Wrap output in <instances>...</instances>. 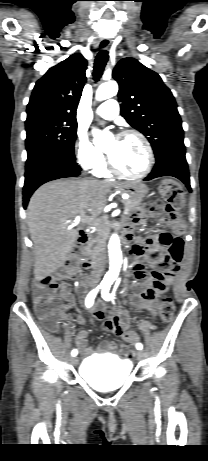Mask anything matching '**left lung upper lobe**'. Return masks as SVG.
<instances>
[{
    "mask_svg": "<svg viewBox=\"0 0 208 461\" xmlns=\"http://www.w3.org/2000/svg\"><path fill=\"white\" fill-rule=\"evenodd\" d=\"M112 76L119 83L121 115L147 137L155 157L169 148L185 147L177 104L157 73L134 58H124Z\"/></svg>",
    "mask_w": 208,
    "mask_h": 461,
    "instance_id": "1",
    "label": "left lung upper lobe"
}]
</instances>
